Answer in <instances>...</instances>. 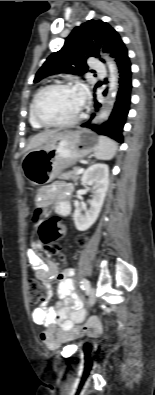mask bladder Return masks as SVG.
<instances>
[{"label":"bladder","mask_w":155,"mask_h":395,"mask_svg":"<svg viewBox=\"0 0 155 395\" xmlns=\"http://www.w3.org/2000/svg\"><path fill=\"white\" fill-rule=\"evenodd\" d=\"M77 345L79 347L84 348V349H88V348H91V346H92V340L91 339H84V340L78 342Z\"/></svg>","instance_id":"31cf9c89"}]
</instances>
